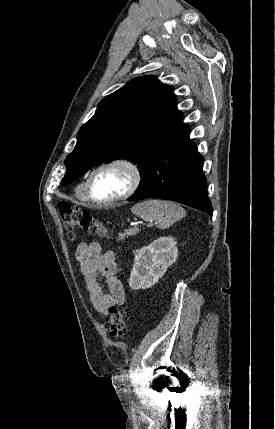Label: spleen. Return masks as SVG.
Segmentation results:
<instances>
[{
    "label": "spleen",
    "mask_w": 275,
    "mask_h": 429,
    "mask_svg": "<svg viewBox=\"0 0 275 429\" xmlns=\"http://www.w3.org/2000/svg\"><path fill=\"white\" fill-rule=\"evenodd\" d=\"M131 212L145 221L155 222L164 230L185 217V210L177 204L165 200H146L133 206Z\"/></svg>",
    "instance_id": "spleen-1"
}]
</instances>
